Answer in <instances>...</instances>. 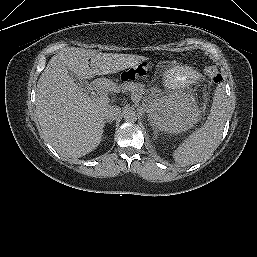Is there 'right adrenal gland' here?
<instances>
[{
	"instance_id": "1",
	"label": "right adrenal gland",
	"mask_w": 257,
	"mask_h": 257,
	"mask_svg": "<svg viewBox=\"0 0 257 257\" xmlns=\"http://www.w3.org/2000/svg\"><path fill=\"white\" fill-rule=\"evenodd\" d=\"M112 122H113V120L105 121V124H106V123L112 124Z\"/></svg>"
}]
</instances>
